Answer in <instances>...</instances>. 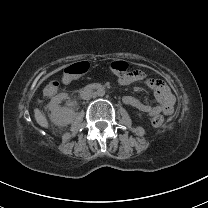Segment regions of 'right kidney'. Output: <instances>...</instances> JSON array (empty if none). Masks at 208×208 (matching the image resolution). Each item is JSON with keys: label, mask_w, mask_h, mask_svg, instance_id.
<instances>
[{"label": "right kidney", "mask_w": 208, "mask_h": 208, "mask_svg": "<svg viewBox=\"0 0 208 208\" xmlns=\"http://www.w3.org/2000/svg\"><path fill=\"white\" fill-rule=\"evenodd\" d=\"M67 98V93H59L56 96H54L49 103V108L51 110L50 119L57 126H67L71 124L74 118L76 117V113L73 109L67 106H59V104Z\"/></svg>", "instance_id": "1"}]
</instances>
